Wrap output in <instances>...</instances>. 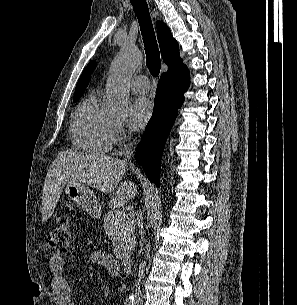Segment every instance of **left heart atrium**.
<instances>
[{
    "label": "left heart atrium",
    "instance_id": "obj_1",
    "mask_svg": "<svg viewBox=\"0 0 297 305\" xmlns=\"http://www.w3.org/2000/svg\"><path fill=\"white\" fill-rule=\"evenodd\" d=\"M152 114V101L147 97H137L130 104L128 124L133 130H140L146 126Z\"/></svg>",
    "mask_w": 297,
    "mask_h": 305
}]
</instances>
